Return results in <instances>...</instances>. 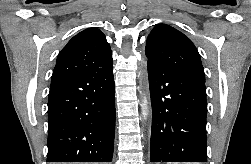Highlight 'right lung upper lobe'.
<instances>
[{
	"mask_svg": "<svg viewBox=\"0 0 251 164\" xmlns=\"http://www.w3.org/2000/svg\"><path fill=\"white\" fill-rule=\"evenodd\" d=\"M110 65L112 52L105 35L97 28H87L75 35L59 53L51 85Z\"/></svg>",
	"mask_w": 251,
	"mask_h": 164,
	"instance_id": "right-lung-upper-lobe-1",
	"label": "right lung upper lobe"
}]
</instances>
